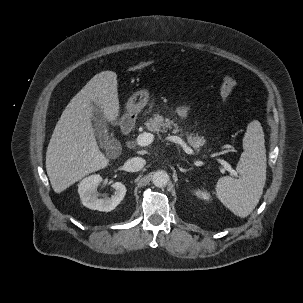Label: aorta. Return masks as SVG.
Returning <instances> with one entry per match:
<instances>
[{
	"instance_id": "1",
	"label": "aorta",
	"mask_w": 303,
	"mask_h": 303,
	"mask_svg": "<svg viewBox=\"0 0 303 303\" xmlns=\"http://www.w3.org/2000/svg\"><path fill=\"white\" fill-rule=\"evenodd\" d=\"M152 181L156 187L159 188L165 187L169 182V175L167 174L166 171L163 170L156 171L153 174Z\"/></svg>"
}]
</instances>
